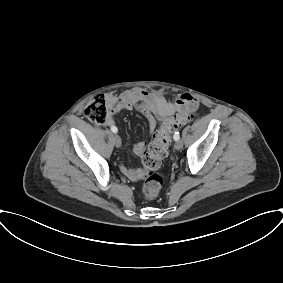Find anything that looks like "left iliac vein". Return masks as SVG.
I'll return each instance as SVG.
<instances>
[{
	"mask_svg": "<svg viewBox=\"0 0 283 283\" xmlns=\"http://www.w3.org/2000/svg\"><path fill=\"white\" fill-rule=\"evenodd\" d=\"M174 147H175L176 150L182 149V147H183L182 141H181V140H177V141L175 142V144H174Z\"/></svg>",
	"mask_w": 283,
	"mask_h": 283,
	"instance_id": "left-iliac-vein-1",
	"label": "left iliac vein"
}]
</instances>
